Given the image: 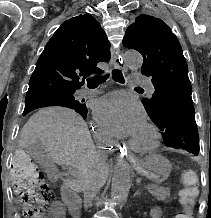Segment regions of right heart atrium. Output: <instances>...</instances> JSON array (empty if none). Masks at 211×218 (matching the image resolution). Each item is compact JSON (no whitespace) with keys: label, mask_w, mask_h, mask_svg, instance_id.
<instances>
[{"label":"right heart atrium","mask_w":211,"mask_h":218,"mask_svg":"<svg viewBox=\"0 0 211 218\" xmlns=\"http://www.w3.org/2000/svg\"><path fill=\"white\" fill-rule=\"evenodd\" d=\"M95 138L101 144L108 142V138L106 137V135L102 132H99V131L95 132Z\"/></svg>","instance_id":"d8ad5b80"}]
</instances>
